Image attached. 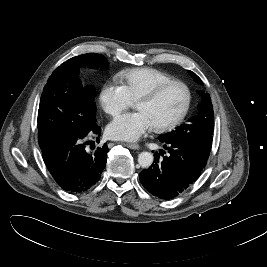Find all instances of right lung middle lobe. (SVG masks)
<instances>
[{
  "label": "right lung middle lobe",
  "mask_w": 267,
  "mask_h": 267,
  "mask_svg": "<svg viewBox=\"0 0 267 267\" xmlns=\"http://www.w3.org/2000/svg\"><path fill=\"white\" fill-rule=\"evenodd\" d=\"M106 65L105 57L87 53L73 57L59 66L43 89L38 110V141L43 150L63 135L85 133L96 125V96L93 87H83L79 80L82 66Z\"/></svg>",
  "instance_id": "right-lung-middle-lobe-1"
}]
</instances>
